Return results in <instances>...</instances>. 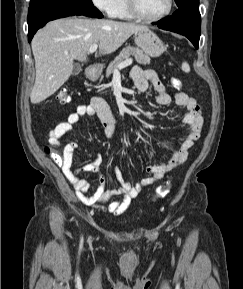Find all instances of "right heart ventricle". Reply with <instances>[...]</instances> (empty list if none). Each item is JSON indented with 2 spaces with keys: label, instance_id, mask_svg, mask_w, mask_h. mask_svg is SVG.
<instances>
[{
  "label": "right heart ventricle",
  "instance_id": "right-heart-ventricle-1",
  "mask_svg": "<svg viewBox=\"0 0 243 289\" xmlns=\"http://www.w3.org/2000/svg\"><path fill=\"white\" fill-rule=\"evenodd\" d=\"M112 17L122 19V20H132L134 17L129 13L127 9L126 0H120L117 8L115 9Z\"/></svg>",
  "mask_w": 243,
  "mask_h": 289
}]
</instances>
